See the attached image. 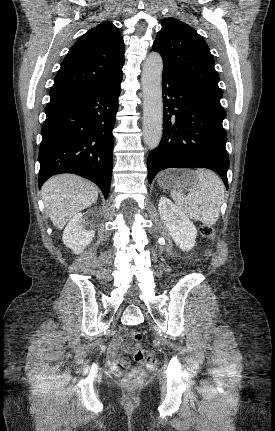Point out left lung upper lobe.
<instances>
[{
    "label": "left lung upper lobe",
    "mask_w": 275,
    "mask_h": 431,
    "mask_svg": "<svg viewBox=\"0 0 275 431\" xmlns=\"http://www.w3.org/2000/svg\"><path fill=\"white\" fill-rule=\"evenodd\" d=\"M152 50L163 58V70L180 78L210 105L223 109L214 58L204 39L189 25L167 18L162 21Z\"/></svg>",
    "instance_id": "left-lung-upper-lobe-1"
}]
</instances>
